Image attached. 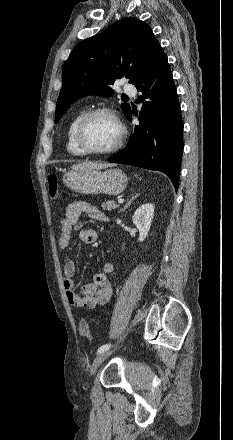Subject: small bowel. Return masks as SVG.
<instances>
[{
  "label": "small bowel",
  "mask_w": 233,
  "mask_h": 440,
  "mask_svg": "<svg viewBox=\"0 0 233 440\" xmlns=\"http://www.w3.org/2000/svg\"><path fill=\"white\" fill-rule=\"evenodd\" d=\"M86 215L88 218L96 221H105L106 216L97 207L85 201H76L70 203L66 208L65 217L61 220V234L58 245L61 249L69 246L71 233L78 232L81 241L85 244H95L98 240V233L93 229L83 227L82 218ZM114 270L111 262H104L92 279V282L82 288L81 293L74 292V275L76 265L73 261H68L63 267V286L66 297L70 305L75 308L94 309L105 305L112 294L111 285L107 276Z\"/></svg>",
  "instance_id": "1"
}]
</instances>
